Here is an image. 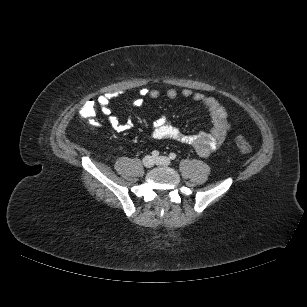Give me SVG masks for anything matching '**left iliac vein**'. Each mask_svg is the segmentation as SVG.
Masks as SVG:
<instances>
[{
	"mask_svg": "<svg viewBox=\"0 0 307 307\" xmlns=\"http://www.w3.org/2000/svg\"><path fill=\"white\" fill-rule=\"evenodd\" d=\"M155 162L157 165H163V166H168L171 164V160L166 156L158 157Z\"/></svg>",
	"mask_w": 307,
	"mask_h": 307,
	"instance_id": "4c4485c4",
	"label": "left iliac vein"
}]
</instances>
